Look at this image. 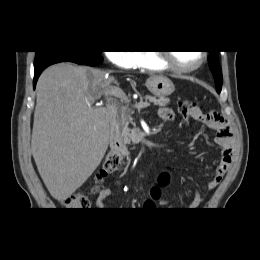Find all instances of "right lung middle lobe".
Listing matches in <instances>:
<instances>
[{
    "label": "right lung middle lobe",
    "instance_id": "right-lung-middle-lobe-1",
    "mask_svg": "<svg viewBox=\"0 0 260 260\" xmlns=\"http://www.w3.org/2000/svg\"><path fill=\"white\" fill-rule=\"evenodd\" d=\"M52 52H41V51H36V55H35V62L37 63L39 61H41L43 58H45L46 56H48L49 54H51ZM92 53H97L100 54L101 51H94Z\"/></svg>",
    "mask_w": 260,
    "mask_h": 260
}]
</instances>
